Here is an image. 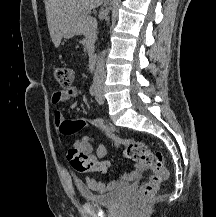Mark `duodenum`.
Returning <instances> with one entry per match:
<instances>
[{"label":"duodenum","mask_w":216,"mask_h":217,"mask_svg":"<svg viewBox=\"0 0 216 217\" xmlns=\"http://www.w3.org/2000/svg\"><path fill=\"white\" fill-rule=\"evenodd\" d=\"M96 64V56L93 51L90 52L89 54V59H88V66L90 70H93L95 68Z\"/></svg>","instance_id":"1"}]
</instances>
